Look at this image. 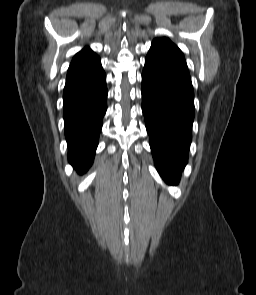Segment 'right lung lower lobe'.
I'll return each mask as SVG.
<instances>
[{
	"label": "right lung lower lobe",
	"mask_w": 256,
	"mask_h": 295,
	"mask_svg": "<svg viewBox=\"0 0 256 295\" xmlns=\"http://www.w3.org/2000/svg\"><path fill=\"white\" fill-rule=\"evenodd\" d=\"M106 75L98 56L70 65L63 92L68 159L79 174L94 159L107 109Z\"/></svg>",
	"instance_id": "1"
}]
</instances>
